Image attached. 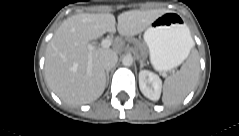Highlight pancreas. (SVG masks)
<instances>
[{
    "label": "pancreas",
    "mask_w": 239,
    "mask_h": 136,
    "mask_svg": "<svg viewBox=\"0 0 239 136\" xmlns=\"http://www.w3.org/2000/svg\"><path fill=\"white\" fill-rule=\"evenodd\" d=\"M130 41H134V42H136L135 40H133V39H130Z\"/></svg>",
    "instance_id": "pancreas-1"
}]
</instances>
